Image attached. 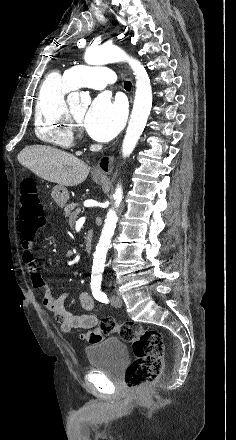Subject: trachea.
<instances>
[{"instance_id": "obj_1", "label": "trachea", "mask_w": 236, "mask_h": 440, "mask_svg": "<svg viewBox=\"0 0 236 440\" xmlns=\"http://www.w3.org/2000/svg\"><path fill=\"white\" fill-rule=\"evenodd\" d=\"M131 87H132V83H131L130 81H125V82H124V88H125L126 90H130Z\"/></svg>"}]
</instances>
